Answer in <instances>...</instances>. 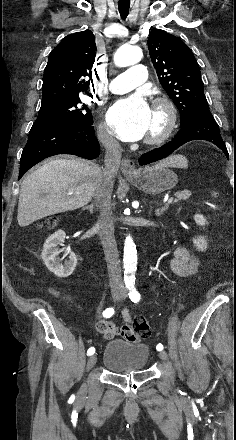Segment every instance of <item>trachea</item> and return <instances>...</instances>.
I'll return each instance as SVG.
<instances>
[{
	"mask_svg": "<svg viewBox=\"0 0 236 440\" xmlns=\"http://www.w3.org/2000/svg\"><path fill=\"white\" fill-rule=\"evenodd\" d=\"M129 8H130V3H121V2L118 3L119 13L122 19H125L127 17Z\"/></svg>",
	"mask_w": 236,
	"mask_h": 440,
	"instance_id": "3493384b",
	"label": "trachea"
}]
</instances>
